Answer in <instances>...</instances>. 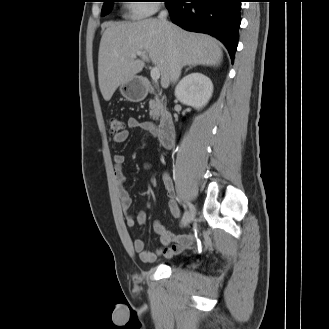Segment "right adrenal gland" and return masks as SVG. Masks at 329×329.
I'll return each mask as SVG.
<instances>
[{"instance_id": "obj_1", "label": "right adrenal gland", "mask_w": 329, "mask_h": 329, "mask_svg": "<svg viewBox=\"0 0 329 329\" xmlns=\"http://www.w3.org/2000/svg\"><path fill=\"white\" fill-rule=\"evenodd\" d=\"M194 67H196V66H192V67L187 68V69L185 70V73H186L188 70H190V69H192V68H194Z\"/></svg>"}]
</instances>
